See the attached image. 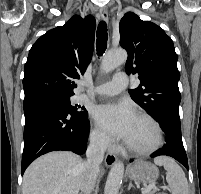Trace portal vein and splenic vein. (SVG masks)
<instances>
[{
    "instance_id": "portal-vein-and-splenic-vein-1",
    "label": "portal vein and splenic vein",
    "mask_w": 201,
    "mask_h": 194,
    "mask_svg": "<svg viewBox=\"0 0 201 194\" xmlns=\"http://www.w3.org/2000/svg\"><path fill=\"white\" fill-rule=\"evenodd\" d=\"M153 188H155V183L148 185L146 188L142 189L141 192H142V194H146L147 192H149Z\"/></svg>"
}]
</instances>
